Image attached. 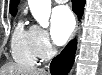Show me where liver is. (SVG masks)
<instances>
[{"instance_id": "6515ba94", "label": "liver", "mask_w": 102, "mask_h": 75, "mask_svg": "<svg viewBox=\"0 0 102 75\" xmlns=\"http://www.w3.org/2000/svg\"><path fill=\"white\" fill-rule=\"evenodd\" d=\"M0 75H47L43 69L8 63L0 68Z\"/></svg>"}]
</instances>
